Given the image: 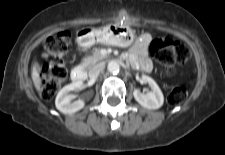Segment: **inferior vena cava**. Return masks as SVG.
<instances>
[{
	"instance_id": "602c4592",
	"label": "inferior vena cava",
	"mask_w": 225,
	"mask_h": 155,
	"mask_svg": "<svg viewBox=\"0 0 225 155\" xmlns=\"http://www.w3.org/2000/svg\"><path fill=\"white\" fill-rule=\"evenodd\" d=\"M103 68H104L103 63L94 65L93 67L89 69V77L91 79H96L98 75L100 74V72L103 70Z\"/></svg>"
}]
</instances>
